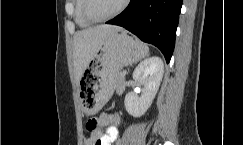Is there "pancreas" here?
Wrapping results in <instances>:
<instances>
[{
	"label": "pancreas",
	"instance_id": "pancreas-1",
	"mask_svg": "<svg viewBox=\"0 0 243 145\" xmlns=\"http://www.w3.org/2000/svg\"><path fill=\"white\" fill-rule=\"evenodd\" d=\"M116 82H117V87L123 88L124 87V82H125V76L122 75V73L118 72L116 75Z\"/></svg>",
	"mask_w": 243,
	"mask_h": 145
}]
</instances>
